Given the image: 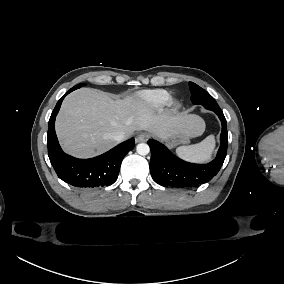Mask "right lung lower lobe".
Here are the masks:
<instances>
[{"instance_id":"right-lung-lower-lobe-1","label":"right lung lower lobe","mask_w":284,"mask_h":284,"mask_svg":"<svg viewBox=\"0 0 284 284\" xmlns=\"http://www.w3.org/2000/svg\"><path fill=\"white\" fill-rule=\"evenodd\" d=\"M73 90L75 89H70L59 99L48 123L47 145L50 162L58 177L75 187L91 189L111 185L117 180L121 162L124 156L134 148L135 140L131 138L91 159H77L65 154L55 133V118L63 99Z\"/></svg>"}]
</instances>
